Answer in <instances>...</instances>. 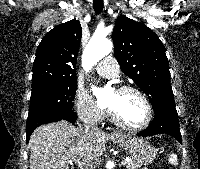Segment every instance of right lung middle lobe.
Wrapping results in <instances>:
<instances>
[{"instance_id":"1","label":"right lung middle lobe","mask_w":200,"mask_h":169,"mask_svg":"<svg viewBox=\"0 0 200 169\" xmlns=\"http://www.w3.org/2000/svg\"><path fill=\"white\" fill-rule=\"evenodd\" d=\"M77 80L63 84H46L32 88L28 117L39 114L73 112Z\"/></svg>"}]
</instances>
